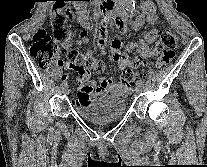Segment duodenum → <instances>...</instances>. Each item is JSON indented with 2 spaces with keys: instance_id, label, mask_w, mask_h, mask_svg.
Masks as SVG:
<instances>
[{
  "instance_id": "1",
  "label": "duodenum",
  "mask_w": 207,
  "mask_h": 167,
  "mask_svg": "<svg viewBox=\"0 0 207 167\" xmlns=\"http://www.w3.org/2000/svg\"><path fill=\"white\" fill-rule=\"evenodd\" d=\"M98 11L109 16H114L117 19H126V14L120 9L116 0H100Z\"/></svg>"
}]
</instances>
